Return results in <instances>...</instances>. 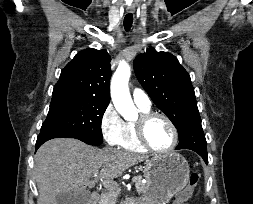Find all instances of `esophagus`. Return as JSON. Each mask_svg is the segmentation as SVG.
I'll use <instances>...</instances> for the list:
<instances>
[{
	"label": "esophagus",
	"instance_id": "obj_1",
	"mask_svg": "<svg viewBox=\"0 0 253 204\" xmlns=\"http://www.w3.org/2000/svg\"><path fill=\"white\" fill-rule=\"evenodd\" d=\"M133 11H134V7H132V6L127 7V12L128 13H132Z\"/></svg>",
	"mask_w": 253,
	"mask_h": 204
}]
</instances>
